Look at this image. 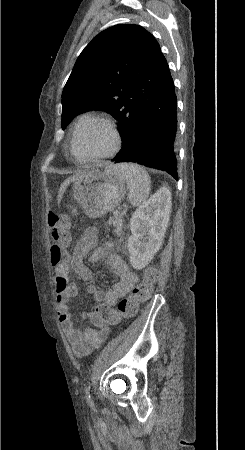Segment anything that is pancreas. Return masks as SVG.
I'll list each match as a JSON object with an SVG mask.
<instances>
[{
	"label": "pancreas",
	"mask_w": 245,
	"mask_h": 450,
	"mask_svg": "<svg viewBox=\"0 0 245 450\" xmlns=\"http://www.w3.org/2000/svg\"><path fill=\"white\" fill-rule=\"evenodd\" d=\"M109 224L115 228V234L120 236L123 233V219L121 215H114L110 218Z\"/></svg>",
	"instance_id": "pancreas-1"
}]
</instances>
